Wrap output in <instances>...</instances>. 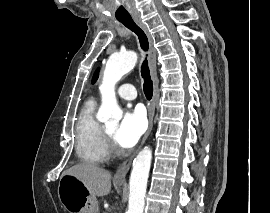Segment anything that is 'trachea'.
<instances>
[{
	"label": "trachea",
	"mask_w": 270,
	"mask_h": 213,
	"mask_svg": "<svg viewBox=\"0 0 270 213\" xmlns=\"http://www.w3.org/2000/svg\"><path fill=\"white\" fill-rule=\"evenodd\" d=\"M120 22L138 36L141 48L144 51H148L149 48L148 38L144 33V31L133 21V19L132 18L122 19L120 20ZM141 75L142 78L144 79L143 89L145 96L148 100H150L153 95V83L150 77V70L148 67L147 59H145L141 65Z\"/></svg>",
	"instance_id": "1"
}]
</instances>
